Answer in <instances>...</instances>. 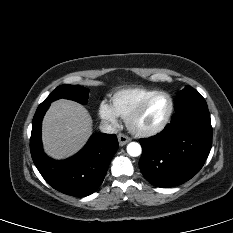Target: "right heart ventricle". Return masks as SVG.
<instances>
[{
    "label": "right heart ventricle",
    "instance_id": "right-heart-ventricle-1",
    "mask_svg": "<svg viewBox=\"0 0 233 233\" xmlns=\"http://www.w3.org/2000/svg\"><path fill=\"white\" fill-rule=\"evenodd\" d=\"M154 92H156L155 89L145 87L118 90L111 97V107L117 116L126 119L143 99Z\"/></svg>",
    "mask_w": 233,
    "mask_h": 233
}]
</instances>
